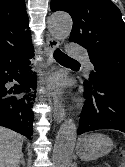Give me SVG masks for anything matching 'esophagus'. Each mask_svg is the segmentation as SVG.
<instances>
[{"mask_svg": "<svg viewBox=\"0 0 125 167\" xmlns=\"http://www.w3.org/2000/svg\"><path fill=\"white\" fill-rule=\"evenodd\" d=\"M59 46V42L56 38L48 35L46 37V53L49 60L48 74L51 76L56 68L55 61L53 59L54 50ZM65 116V109L63 103L57 96H54L53 101V117L57 123H61Z\"/></svg>", "mask_w": 125, "mask_h": 167, "instance_id": "34e87169", "label": "esophagus"}]
</instances>
